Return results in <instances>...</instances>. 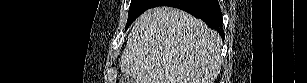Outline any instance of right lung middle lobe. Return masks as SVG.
<instances>
[{"label":"right lung middle lobe","instance_id":"obj_1","mask_svg":"<svg viewBox=\"0 0 307 83\" xmlns=\"http://www.w3.org/2000/svg\"><path fill=\"white\" fill-rule=\"evenodd\" d=\"M152 2L153 0H131L126 29L134 19L151 7Z\"/></svg>","mask_w":307,"mask_h":83}]
</instances>
